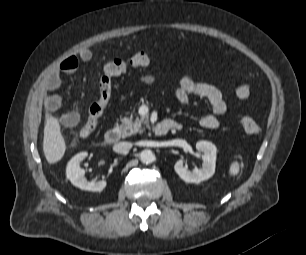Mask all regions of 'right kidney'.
<instances>
[{"label":"right kidney","mask_w":306,"mask_h":255,"mask_svg":"<svg viewBox=\"0 0 306 255\" xmlns=\"http://www.w3.org/2000/svg\"><path fill=\"white\" fill-rule=\"evenodd\" d=\"M87 155V152H80L72 157L66 167V177L74 186L82 190L92 192L102 191L106 187V181H88L85 178V170L80 167L81 161H83Z\"/></svg>","instance_id":"right-kidney-1"}]
</instances>
